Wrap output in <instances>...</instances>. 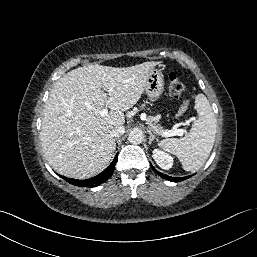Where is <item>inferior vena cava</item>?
<instances>
[{
  "label": "inferior vena cava",
  "instance_id": "inferior-vena-cava-1",
  "mask_svg": "<svg viewBox=\"0 0 257 257\" xmlns=\"http://www.w3.org/2000/svg\"><path fill=\"white\" fill-rule=\"evenodd\" d=\"M124 132H125L124 126H119V127H116L115 129H113L110 132V135L112 137H118V136L122 135Z\"/></svg>",
  "mask_w": 257,
  "mask_h": 257
}]
</instances>
